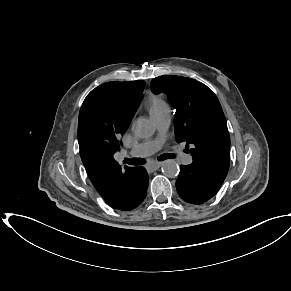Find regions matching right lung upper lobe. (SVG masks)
<instances>
[{
	"instance_id": "1",
	"label": "right lung upper lobe",
	"mask_w": 291,
	"mask_h": 291,
	"mask_svg": "<svg viewBox=\"0 0 291 291\" xmlns=\"http://www.w3.org/2000/svg\"><path fill=\"white\" fill-rule=\"evenodd\" d=\"M144 81L107 82L93 89L79 113L78 143L86 172L98 193L109 204L126 195L125 171L113 158L142 96Z\"/></svg>"
}]
</instances>
